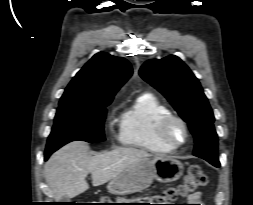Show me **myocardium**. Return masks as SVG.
<instances>
[{
    "label": "myocardium",
    "mask_w": 253,
    "mask_h": 205,
    "mask_svg": "<svg viewBox=\"0 0 253 205\" xmlns=\"http://www.w3.org/2000/svg\"><path fill=\"white\" fill-rule=\"evenodd\" d=\"M175 124H178L182 128L183 138L181 140H174L170 135L171 128ZM157 135L164 145L175 149L187 142L189 129L187 123L181 117L172 114L162 119L157 129Z\"/></svg>",
    "instance_id": "myocardium-1"
}]
</instances>
